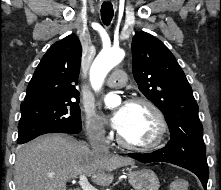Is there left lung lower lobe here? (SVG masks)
I'll list each match as a JSON object with an SVG mask.
<instances>
[{
    "instance_id": "left-lung-lower-lobe-1",
    "label": "left lung lower lobe",
    "mask_w": 221,
    "mask_h": 190,
    "mask_svg": "<svg viewBox=\"0 0 221 190\" xmlns=\"http://www.w3.org/2000/svg\"><path fill=\"white\" fill-rule=\"evenodd\" d=\"M130 157L144 163L149 162H168L193 172L201 180V183L206 190L209 177V170L206 160V155L196 152H179L173 150L170 144L164 148L145 154H129Z\"/></svg>"
}]
</instances>
